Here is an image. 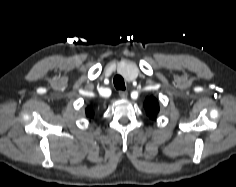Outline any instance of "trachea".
Wrapping results in <instances>:
<instances>
[{"instance_id":"3493384b","label":"trachea","mask_w":236,"mask_h":187,"mask_svg":"<svg viewBox=\"0 0 236 187\" xmlns=\"http://www.w3.org/2000/svg\"><path fill=\"white\" fill-rule=\"evenodd\" d=\"M113 82H114V86L116 89L125 90V83H124V79L122 78V76L116 75L114 77Z\"/></svg>"}]
</instances>
